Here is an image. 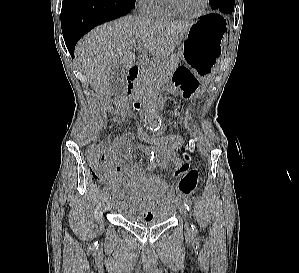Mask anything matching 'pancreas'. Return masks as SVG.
I'll list each match as a JSON object with an SVG mask.
<instances>
[{"mask_svg":"<svg viewBox=\"0 0 299 273\" xmlns=\"http://www.w3.org/2000/svg\"><path fill=\"white\" fill-rule=\"evenodd\" d=\"M178 62V57L173 55L166 59H158L154 62L144 64V74L139 81L135 93L141 95L149 89H154L159 82L167 80L171 75V72L176 69Z\"/></svg>","mask_w":299,"mask_h":273,"instance_id":"obj_1","label":"pancreas"}]
</instances>
